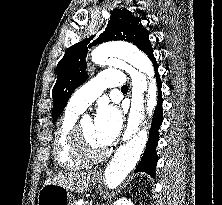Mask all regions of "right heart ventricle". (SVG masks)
<instances>
[{"instance_id": "right-heart-ventricle-1", "label": "right heart ventricle", "mask_w": 222, "mask_h": 205, "mask_svg": "<svg viewBox=\"0 0 222 205\" xmlns=\"http://www.w3.org/2000/svg\"><path fill=\"white\" fill-rule=\"evenodd\" d=\"M79 113L67 107L55 132L53 157L56 164L61 168L77 169L83 166V162L73 154L70 144V135Z\"/></svg>"}]
</instances>
